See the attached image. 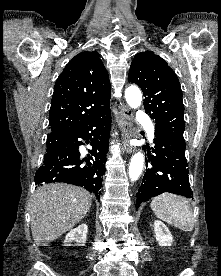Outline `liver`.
Here are the masks:
<instances>
[{
	"mask_svg": "<svg viewBox=\"0 0 221 276\" xmlns=\"http://www.w3.org/2000/svg\"><path fill=\"white\" fill-rule=\"evenodd\" d=\"M91 203L92 195L82 187L52 183L38 188L29 208L34 241L46 246L56 240L85 217Z\"/></svg>",
	"mask_w": 221,
	"mask_h": 276,
	"instance_id": "6515ba94",
	"label": "liver"
}]
</instances>
